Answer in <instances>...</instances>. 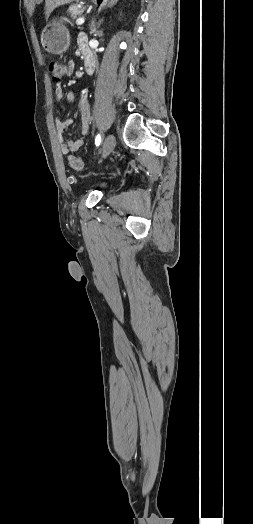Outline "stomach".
Wrapping results in <instances>:
<instances>
[{
    "label": "stomach",
    "instance_id": "1",
    "mask_svg": "<svg viewBox=\"0 0 253 524\" xmlns=\"http://www.w3.org/2000/svg\"><path fill=\"white\" fill-rule=\"evenodd\" d=\"M99 2L100 0H92ZM41 43L44 49L52 54L64 53L70 44V35L67 28L58 21L49 23L43 30L41 35Z\"/></svg>",
    "mask_w": 253,
    "mask_h": 524
}]
</instances>
